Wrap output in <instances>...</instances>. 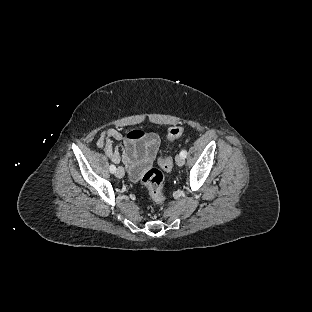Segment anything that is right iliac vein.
Returning <instances> with one entry per match:
<instances>
[{
  "instance_id": "obj_1",
  "label": "right iliac vein",
  "mask_w": 312,
  "mask_h": 312,
  "mask_svg": "<svg viewBox=\"0 0 312 312\" xmlns=\"http://www.w3.org/2000/svg\"><path fill=\"white\" fill-rule=\"evenodd\" d=\"M125 175L124 169L122 167H118L117 171H116V176L118 178H123Z\"/></svg>"
}]
</instances>
